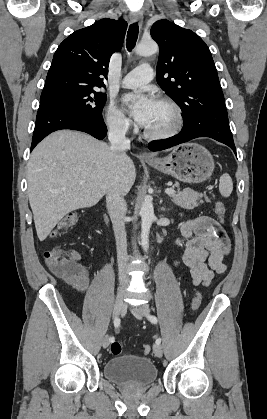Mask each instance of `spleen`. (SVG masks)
I'll return each instance as SVG.
<instances>
[{"label":"spleen","instance_id":"obj_1","mask_svg":"<svg viewBox=\"0 0 267 419\" xmlns=\"http://www.w3.org/2000/svg\"><path fill=\"white\" fill-rule=\"evenodd\" d=\"M219 191L223 197H229L233 191V182L229 174H223L219 180Z\"/></svg>","mask_w":267,"mask_h":419}]
</instances>
